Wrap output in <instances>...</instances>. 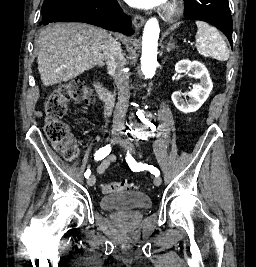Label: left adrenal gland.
Segmentation results:
<instances>
[{"label": "left adrenal gland", "mask_w": 256, "mask_h": 267, "mask_svg": "<svg viewBox=\"0 0 256 267\" xmlns=\"http://www.w3.org/2000/svg\"><path fill=\"white\" fill-rule=\"evenodd\" d=\"M172 40H173V38L171 36V38L167 44V48H166L167 52H171V50H175V48H176V46H175L174 42H172Z\"/></svg>", "instance_id": "1"}]
</instances>
